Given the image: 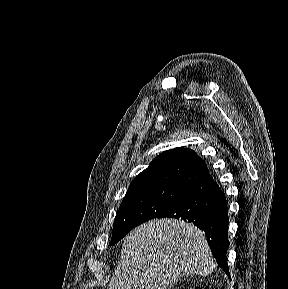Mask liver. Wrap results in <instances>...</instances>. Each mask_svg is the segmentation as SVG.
Returning a JSON list of instances; mask_svg holds the SVG:
<instances>
[{
	"label": "liver",
	"instance_id": "1",
	"mask_svg": "<svg viewBox=\"0 0 288 289\" xmlns=\"http://www.w3.org/2000/svg\"><path fill=\"white\" fill-rule=\"evenodd\" d=\"M216 268L204 233L177 219L150 220L125 238L109 289H167Z\"/></svg>",
	"mask_w": 288,
	"mask_h": 289
}]
</instances>
